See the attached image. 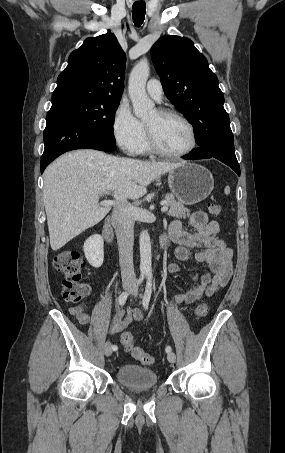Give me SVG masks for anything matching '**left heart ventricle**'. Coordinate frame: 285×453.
Segmentation results:
<instances>
[{
	"instance_id": "b2bd125f",
	"label": "left heart ventricle",
	"mask_w": 285,
	"mask_h": 453,
	"mask_svg": "<svg viewBox=\"0 0 285 453\" xmlns=\"http://www.w3.org/2000/svg\"><path fill=\"white\" fill-rule=\"evenodd\" d=\"M154 133L159 145L170 152H180L191 142L188 127L174 117H161L154 112L145 122Z\"/></svg>"
}]
</instances>
